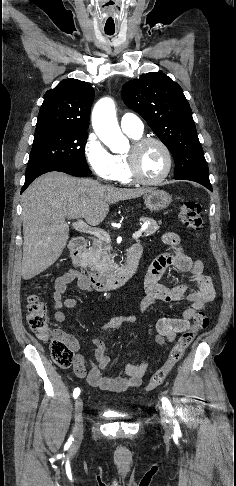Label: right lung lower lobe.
Instances as JSON below:
<instances>
[{"label": "right lung lower lobe", "instance_id": "98d812e1", "mask_svg": "<svg viewBox=\"0 0 236 486\" xmlns=\"http://www.w3.org/2000/svg\"><path fill=\"white\" fill-rule=\"evenodd\" d=\"M60 171L77 177H84L91 174L89 168L70 166V165H57L51 163H40L31 166H27L25 183L22 187L21 193L31 184V182L38 176L50 172Z\"/></svg>", "mask_w": 236, "mask_h": 486}]
</instances>
